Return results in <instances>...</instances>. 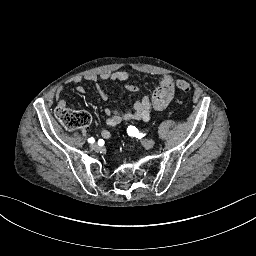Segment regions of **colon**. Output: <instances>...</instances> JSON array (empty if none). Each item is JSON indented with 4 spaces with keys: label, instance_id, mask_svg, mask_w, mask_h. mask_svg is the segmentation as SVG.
<instances>
[{
    "label": "colon",
    "instance_id": "obj_1",
    "mask_svg": "<svg viewBox=\"0 0 256 256\" xmlns=\"http://www.w3.org/2000/svg\"><path fill=\"white\" fill-rule=\"evenodd\" d=\"M177 87L184 93H189L191 87L184 81H178ZM58 118L66 130H74L80 127H85L90 123V117L87 113L74 111L69 108H61L57 112Z\"/></svg>",
    "mask_w": 256,
    "mask_h": 256
}]
</instances>
